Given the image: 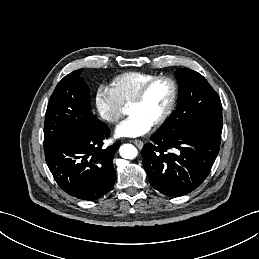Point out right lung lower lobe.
<instances>
[{
    "instance_id": "1",
    "label": "right lung lower lobe",
    "mask_w": 259,
    "mask_h": 259,
    "mask_svg": "<svg viewBox=\"0 0 259 259\" xmlns=\"http://www.w3.org/2000/svg\"><path fill=\"white\" fill-rule=\"evenodd\" d=\"M109 132L99 120L83 130L62 128L44 141L46 163L67 194L93 201L111 190L116 178L112 159L120 144L104 145Z\"/></svg>"
}]
</instances>
